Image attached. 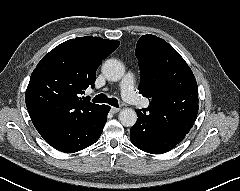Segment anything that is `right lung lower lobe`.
Instances as JSON below:
<instances>
[{
  "label": "right lung lower lobe",
  "instance_id": "right-lung-lower-lobe-1",
  "mask_svg": "<svg viewBox=\"0 0 240 191\" xmlns=\"http://www.w3.org/2000/svg\"><path fill=\"white\" fill-rule=\"evenodd\" d=\"M109 110V106L99 105L80 117H53L36 126V129L53 148L66 153L77 152L97 142Z\"/></svg>",
  "mask_w": 240,
  "mask_h": 191
}]
</instances>
